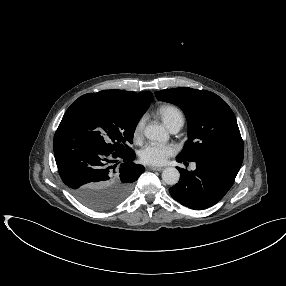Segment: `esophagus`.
Instances as JSON below:
<instances>
[{
  "label": "esophagus",
  "mask_w": 286,
  "mask_h": 286,
  "mask_svg": "<svg viewBox=\"0 0 286 286\" xmlns=\"http://www.w3.org/2000/svg\"><path fill=\"white\" fill-rule=\"evenodd\" d=\"M148 169L153 170V171H162V170H164V167L150 166V167H148Z\"/></svg>",
  "instance_id": "esophagus-1"
}]
</instances>
